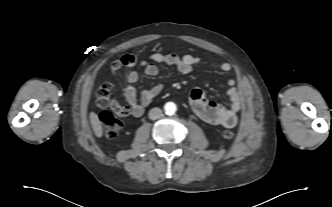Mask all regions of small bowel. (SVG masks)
I'll list each match as a JSON object with an SVG mask.
<instances>
[{
    "instance_id": "1",
    "label": "small bowel",
    "mask_w": 332,
    "mask_h": 207,
    "mask_svg": "<svg viewBox=\"0 0 332 207\" xmlns=\"http://www.w3.org/2000/svg\"><path fill=\"white\" fill-rule=\"evenodd\" d=\"M201 62L202 59L193 54L179 56L175 54L153 53L141 63V67L143 73L149 77H155L158 75L159 69L156 65L157 63L174 66L179 73L185 75L189 74L193 67ZM218 67L221 71L226 73L233 69L232 65L227 61L219 62ZM138 80L139 73L137 71H131L128 74L124 95L129 107H127V113L120 116H141L144 108L162 91V86L160 84H155L150 88L143 90L138 98L134 87V84ZM228 85L230 86L228 91L230 105L228 107H223L216 102L209 100L202 88H195L191 91L190 104L194 112L206 123L226 128H233L237 125L238 113L241 109L244 98L242 92L236 87L235 79H229Z\"/></svg>"
}]
</instances>
